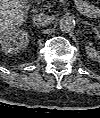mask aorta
I'll return each mask as SVG.
<instances>
[{
    "label": "aorta",
    "instance_id": "obj_1",
    "mask_svg": "<svg viewBox=\"0 0 100 118\" xmlns=\"http://www.w3.org/2000/svg\"><path fill=\"white\" fill-rule=\"evenodd\" d=\"M59 27L63 32H70L75 27V20L72 16H63L59 21Z\"/></svg>",
    "mask_w": 100,
    "mask_h": 118
}]
</instances>
